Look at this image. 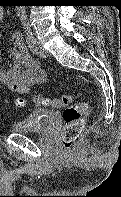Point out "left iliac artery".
Wrapping results in <instances>:
<instances>
[{"label": "left iliac artery", "instance_id": "obj_1", "mask_svg": "<svg viewBox=\"0 0 121 197\" xmlns=\"http://www.w3.org/2000/svg\"><path fill=\"white\" fill-rule=\"evenodd\" d=\"M23 27H24V30H25V33H26V36H27V40H28V43H29V46L34 49L35 48V44H36V39L34 38L33 36V33L30 29V26L29 24L24 21L23 22Z\"/></svg>", "mask_w": 121, "mask_h": 197}]
</instances>
